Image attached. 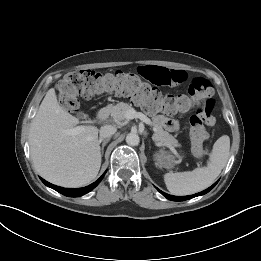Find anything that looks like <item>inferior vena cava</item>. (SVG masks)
Instances as JSON below:
<instances>
[{"label": "inferior vena cava", "mask_w": 261, "mask_h": 261, "mask_svg": "<svg viewBox=\"0 0 261 261\" xmlns=\"http://www.w3.org/2000/svg\"><path fill=\"white\" fill-rule=\"evenodd\" d=\"M116 127L112 125H104L100 128V140L110 139L116 132Z\"/></svg>", "instance_id": "1"}]
</instances>
